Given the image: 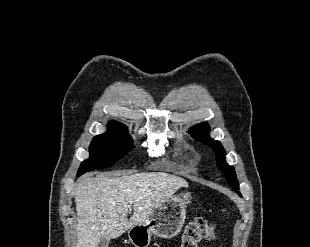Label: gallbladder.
Returning a JSON list of instances; mask_svg holds the SVG:
<instances>
[{
    "instance_id": "bac80fb5",
    "label": "gallbladder",
    "mask_w": 310,
    "mask_h": 247,
    "mask_svg": "<svg viewBox=\"0 0 310 247\" xmlns=\"http://www.w3.org/2000/svg\"><path fill=\"white\" fill-rule=\"evenodd\" d=\"M109 245V238L102 237L97 245V247H108Z\"/></svg>"
}]
</instances>
